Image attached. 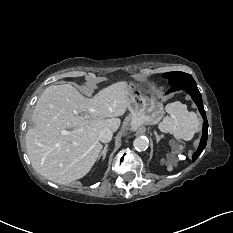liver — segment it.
Returning <instances> with one entry per match:
<instances>
[{"instance_id":"obj_1","label":"liver","mask_w":233,"mask_h":233,"mask_svg":"<svg viewBox=\"0 0 233 233\" xmlns=\"http://www.w3.org/2000/svg\"><path fill=\"white\" fill-rule=\"evenodd\" d=\"M129 106L126 83L121 81L84 97L70 84L51 85L39 97L32 114L34 127L26 133L32 167L46 179L67 185L93 167L102 144L99 133L118 130ZM69 129V135L60 130Z\"/></svg>"}]
</instances>
